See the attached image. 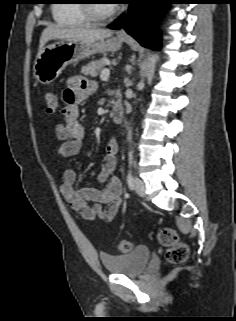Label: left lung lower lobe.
<instances>
[{
	"instance_id": "left-lung-lower-lobe-1",
	"label": "left lung lower lobe",
	"mask_w": 236,
	"mask_h": 321,
	"mask_svg": "<svg viewBox=\"0 0 236 321\" xmlns=\"http://www.w3.org/2000/svg\"><path fill=\"white\" fill-rule=\"evenodd\" d=\"M128 16L122 15L108 25L110 29H121L134 37L142 46L159 49V38L152 32V26L170 3L163 0H130Z\"/></svg>"
}]
</instances>
